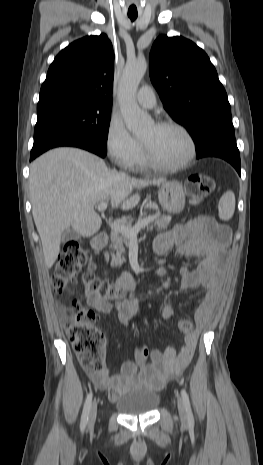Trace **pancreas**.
Returning a JSON list of instances; mask_svg holds the SVG:
<instances>
[{
  "instance_id": "obj_1",
  "label": "pancreas",
  "mask_w": 263,
  "mask_h": 465,
  "mask_svg": "<svg viewBox=\"0 0 263 465\" xmlns=\"http://www.w3.org/2000/svg\"><path fill=\"white\" fill-rule=\"evenodd\" d=\"M155 217V219L152 221L151 224L148 225V228L152 229L155 227L157 230H165L168 228L171 217L170 216H160V213L157 212L155 215H152ZM147 217H142L138 219V222L146 219ZM132 219L125 225L128 228H133L134 226L132 225ZM137 222V223H138ZM111 245L110 248L115 252V254H112V259H111V266L112 267H120L123 262H124V257L123 254L125 253V247L129 246V237L125 236L121 232H115L113 231L111 233ZM106 260L109 259V255L106 253L105 254Z\"/></svg>"
}]
</instances>
